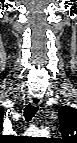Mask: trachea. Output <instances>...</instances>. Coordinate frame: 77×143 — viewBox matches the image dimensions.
Listing matches in <instances>:
<instances>
[{
	"mask_svg": "<svg viewBox=\"0 0 77 143\" xmlns=\"http://www.w3.org/2000/svg\"><path fill=\"white\" fill-rule=\"evenodd\" d=\"M38 106L28 104L24 109V117L26 121H30L38 111Z\"/></svg>",
	"mask_w": 77,
	"mask_h": 143,
	"instance_id": "trachea-1",
	"label": "trachea"
}]
</instances>
